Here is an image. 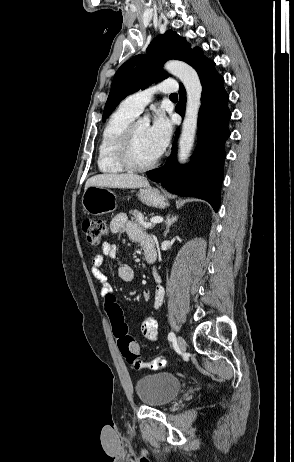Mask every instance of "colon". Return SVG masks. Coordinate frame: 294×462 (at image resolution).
<instances>
[{
	"label": "colon",
	"instance_id": "5ec220e1",
	"mask_svg": "<svg viewBox=\"0 0 294 462\" xmlns=\"http://www.w3.org/2000/svg\"><path fill=\"white\" fill-rule=\"evenodd\" d=\"M82 230L86 236L88 244L97 246L107 235L108 226L104 220L85 219L82 222ZM104 308L109 317L113 334L117 339L122 355L125 357L128 364L134 369H141L144 363L138 352V346L128 332L122 310L116 302L113 294L107 296L104 300Z\"/></svg>",
	"mask_w": 294,
	"mask_h": 462
}]
</instances>
